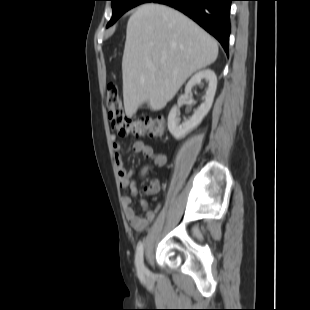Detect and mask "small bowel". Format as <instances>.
<instances>
[{"label":"small bowel","instance_id":"c3829d8e","mask_svg":"<svg viewBox=\"0 0 310 310\" xmlns=\"http://www.w3.org/2000/svg\"><path fill=\"white\" fill-rule=\"evenodd\" d=\"M112 149L115 156L116 165L118 167L120 187L129 191L128 194H124L121 197V204L125 218L134 230L143 231L148 224L155 219L157 209L154 211L147 210V203L145 201H141L140 206L144 210V213L137 214L135 209L132 207L133 197L138 194L137 183L133 178L134 170L128 169L124 166L121 156V145L118 141V137L115 135L112 136ZM133 151L149 158L153 162V165H144L140 169L139 176L141 178H144L150 171H152L154 166L162 167L167 162V156L164 153L156 152L151 145L141 140L133 141ZM158 189V186H154L153 191L150 192V190L145 187L144 192L146 194H151L157 192Z\"/></svg>","mask_w":310,"mask_h":310}]
</instances>
